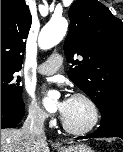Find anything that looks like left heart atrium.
<instances>
[{
  "label": "left heart atrium",
  "mask_w": 123,
  "mask_h": 152,
  "mask_svg": "<svg viewBox=\"0 0 123 152\" xmlns=\"http://www.w3.org/2000/svg\"><path fill=\"white\" fill-rule=\"evenodd\" d=\"M70 100L71 98L68 95H63L59 102L58 111L62 119L65 117Z\"/></svg>",
  "instance_id": "left-heart-atrium-1"
}]
</instances>
